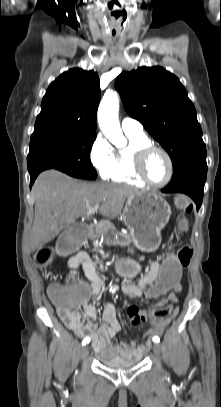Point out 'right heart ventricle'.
Wrapping results in <instances>:
<instances>
[{"mask_svg":"<svg viewBox=\"0 0 221 407\" xmlns=\"http://www.w3.org/2000/svg\"><path fill=\"white\" fill-rule=\"evenodd\" d=\"M129 143L124 148L115 151L114 167L110 179L115 182L144 186L145 183L136 175L133 166L134 152L151 144L150 139L143 134L126 133Z\"/></svg>","mask_w":221,"mask_h":407,"instance_id":"e07e8e85","label":"right heart ventricle"}]
</instances>
